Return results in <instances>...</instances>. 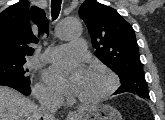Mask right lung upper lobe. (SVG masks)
Returning <instances> with one entry per match:
<instances>
[{
	"label": "right lung upper lobe",
	"mask_w": 165,
	"mask_h": 120,
	"mask_svg": "<svg viewBox=\"0 0 165 120\" xmlns=\"http://www.w3.org/2000/svg\"><path fill=\"white\" fill-rule=\"evenodd\" d=\"M36 24L39 33L48 31L45 12L30 7L28 1L18 2L0 14V59L25 58L32 55L34 49L29 43H36L30 24Z\"/></svg>",
	"instance_id": "1"
}]
</instances>
